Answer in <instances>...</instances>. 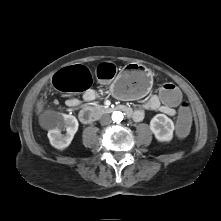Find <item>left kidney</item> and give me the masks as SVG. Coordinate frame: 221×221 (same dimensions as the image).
Wrapping results in <instances>:
<instances>
[{
  "instance_id": "obj_1",
  "label": "left kidney",
  "mask_w": 221,
  "mask_h": 221,
  "mask_svg": "<svg viewBox=\"0 0 221 221\" xmlns=\"http://www.w3.org/2000/svg\"><path fill=\"white\" fill-rule=\"evenodd\" d=\"M150 130L160 142H169L173 138L174 123L164 114L155 115L150 121Z\"/></svg>"
}]
</instances>
